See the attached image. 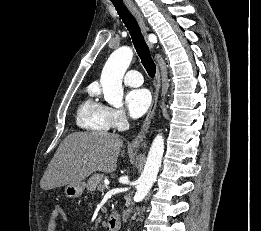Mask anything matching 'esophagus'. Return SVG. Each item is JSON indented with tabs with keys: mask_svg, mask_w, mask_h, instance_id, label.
Returning <instances> with one entry per match:
<instances>
[{
	"mask_svg": "<svg viewBox=\"0 0 261 231\" xmlns=\"http://www.w3.org/2000/svg\"><path fill=\"white\" fill-rule=\"evenodd\" d=\"M124 3L126 5V7L129 9V11L133 14V16L136 18V20L138 21L142 33L147 41V44L149 46L150 49L153 48L154 43L157 42V37L156 35L153 34L152 38L149 39L148 38V27L146 26L145 20L143 18V15L140 13V11L137 9V7L135 6V4L133 3V1L131 0H124ZM160 87H161V74H160V68L159 66H157L156 69V85H155V92H154V96H153V101L151 104V107L148 111V114L143 122V125L138 133V135L133 139V141L130 144V147H138L142 144L144 138H145V134L148 131L149 128V124L151 122V119L155 113L156 107H157V102H158V97H159V91H160Z\"/></svg>",
	"mask_w": 261,
	"mask_h": 231,
	"instance_id": "1",
	"label": "esophagus"
}]
</instances>
